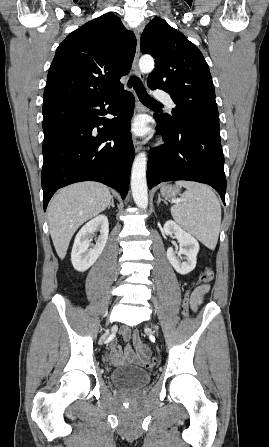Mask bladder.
I'll use <instances>...</instances> for the list:
<instances>
[{
    "label": "bladder",
    "mask_w": 269,
    "mask_h": 447,
    "mask_svg": "<svg viewBox=\"0 0 269 447\" xmlns=\"http://www.w3.org/2000/svg\"><path fill=\"white\" fill-rule=\"evenodd\" d=\"M151 373L144 368L135 366H122L113 369L109 373L112 384L121 391L136 392L144 386H148Z\"/></svg>",
    "instance_id": "bladder-1"
}]
</instances>
